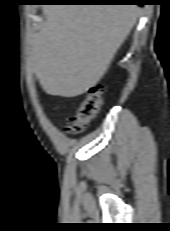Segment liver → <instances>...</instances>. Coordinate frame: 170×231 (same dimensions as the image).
Masks as SVG:
<instances>
[{"mask_svg": "<svg viewBox=\"0 0 170 231\" xmlns=\"http://www.w3.org/2000/svg\"><path fill=\"white\" fill-rule=\"evenodd\" d=\"M31 41L30 61L43 90L76 97L95 86L129 35L136 5H49Z\"/></svg>", "mask_w": 170, "mask_h": 231, "instance_id": "6515ba94", "label": "liver"}]
</instances>
